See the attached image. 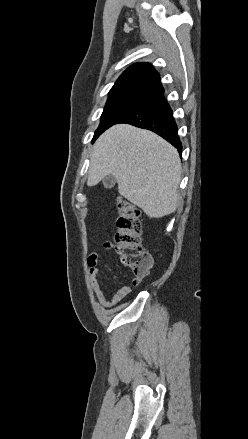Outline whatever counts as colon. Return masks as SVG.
Wrapping results in <instances>:
<instances>
[{"mask_svg": "<svg viewBox=\"0 0 248 439\" xmlns=\"http://www.w3.org/2000/svg\"><path fill=\"white\" fill-rule=\"evenodd\" d=\"M118 217L114 248L121 256L122 264L129 268L136 283L149 273L153 261L141 244L142 224L138 207L124 198H118Z\"/></svg>", "mask_w": 248, "mask_h": 439, "instance_id": "5ec220e1", "label": "colon"}]
</instances>
